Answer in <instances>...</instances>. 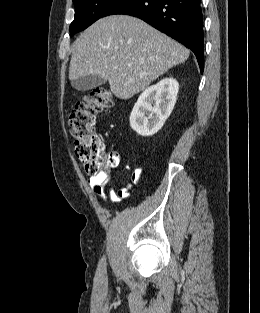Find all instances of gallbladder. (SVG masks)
Instances as JSON below:
<instances>
[{"mask_svg":"<svg viewBox=\"0 0 260 313\" xmlns=\"http://www.w3.org/2000/svg\"><path fill=\"white\" fill-rule=\"evenodd\" d=\"M106 81L97 75H87L72 81V87L78 91H87L105 84Z\"/></svg>","mask_w":260,"mask_h":313,"instance_id":"bac80fb5","label":"gallbladder"}]
</instances>
